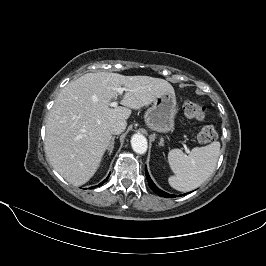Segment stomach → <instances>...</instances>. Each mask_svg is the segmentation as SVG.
Segmentation results:
<instances>
[{"label": "stomach", "instance_id": "obj_1", "mask_svg": "<svg viewBox=\"0 0 266 266\" xmlns=\"http://www.w3.org/2000/svg\"><path fill=\"white\" fill-rule=\"evenodd\" d=\"M177 113L176 97L164 94L157 97L145 113L144 119L149 128L158 132H168L174 128Z\"/></svg>", "mask_w": 266, "mask_h": 266}]
</instances>
